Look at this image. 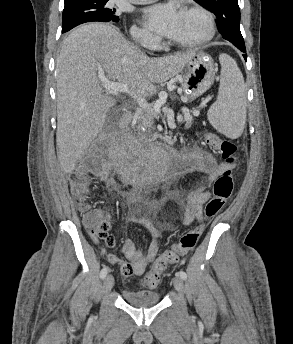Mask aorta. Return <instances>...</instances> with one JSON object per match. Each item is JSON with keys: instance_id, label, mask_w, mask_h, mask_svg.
<instances>
[{"instance_id": "obj_1", "label": "aorta", "mask_w": 293, "mask_h": 344, "mask_svg": "<svg viewBox=\"0 0 293 344\" xmlns=\"http://www.w3.org/2000/svg\"><path fill=\"white\" fill-rule=\"evenodd\" d=\"M168 156L165 152H160L151 161V166L153 170L162 171L167 163Z\"/></svg>"}]
</instances>
